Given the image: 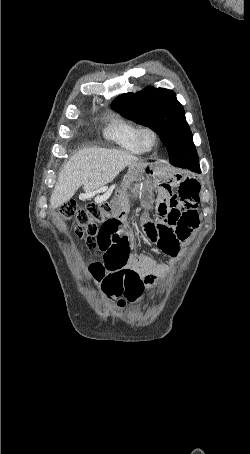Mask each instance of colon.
<instances>
[{"label": "colon", "mask_w": 250, "mask_h": 454, "mask_svg": "<svg viewBox=\"0 0 250 454\" xmlns=\"http://www.w3.org/2000/svg\"><path fill=\"white\" fill-rule=\"evenodd\" d=\"M59 214L65 219L76 216L77 226L75 233L80 239L85 241L89 248L97 246V234L101 226L119 217L115 201L90 203L80 208L69 201L59 207Z\"/></svg>", "instance_id": "1"}]
</instances>
